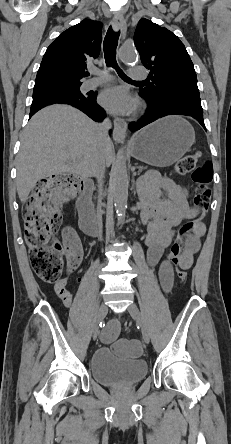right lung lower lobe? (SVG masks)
Wrapping results in <instances>:
<instances>
[{"label": "right lung lower lobe", "mask_w": 231, "mask_h": 444, "mask_svg": "<svg viewBox=\"0 0 231 444\" xmlns=\"http://www.w3.org/2000/svg\"><path fill=\"white\" fill-rule=\"evenodd\" d=\"M56 103L72 105L86 113L95 121H102L105 117V112L96 103V94L82 99L59 94H46L34 97L30 109V116L34 115L41 108Z\"/></svg>", "instance_id": "1"}]
</instances>
